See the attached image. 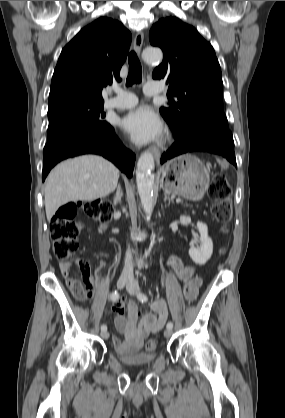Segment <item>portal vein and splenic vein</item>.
Wrapping results in <instances>:
<instances>
[{
  "mask_svg": "<svg viewBox=\"0 0 285 418\" xmlns=\"http://www.w3.org/2000/svg\"><path fill=\"white\" fill-rule=\"evenodd\" d=\"M176 202H177V203H180V202H181V199H180V198H177V199H176Z\"/></svg>",
  "mask_w": 285,
  "mask_h": 418,
  "instance_id": "18ae733b",
  "label": "portal vein and splenic vein"
}]
</instances>
